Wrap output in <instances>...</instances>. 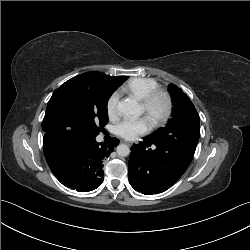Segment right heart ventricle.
I'll return each instance as SVG.
<instances>
[{
  "label": "right heart ventricle",
  "mask_w": 250,
  "mask_h": 250,
  "mask_svg": "<svg viewBox=\"0 0 250 250\" xmlns=\"http://www.w3.org/2000/svg\"><path fill=\"white\" fill-rule=\"evenodd\" d=\"M159 87V83L148 77H135L130 79L122 90L134 95L136 98L142 100L149 92Z\"/></svg>",
  "instance_id": "1"
}]
</instances>
